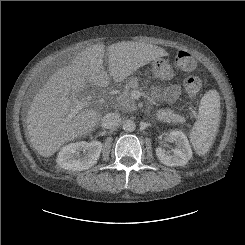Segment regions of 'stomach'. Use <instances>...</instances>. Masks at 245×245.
Returning <instances> with one entry per match:
<instances>
[{
    "instance_id": "obj_1",
    "label": "stomach",
    "mask_w": 245,
    "mask_h": 245,
    "mask_svg": "<svg viewBox=\"0 0 245 245\" xmlns=\"http://www.w3.org/2000/svg\"><path fill=\"white\" fill-rule=\"evenodd\" d=\"M152 72L155 77L162 80H169L173 76L171 65L163 58H157L153 60Z\"/></svg>"
}]
</instances>
